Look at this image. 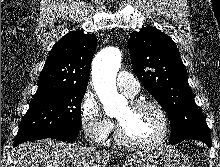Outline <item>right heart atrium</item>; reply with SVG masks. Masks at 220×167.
<instances>
[{
	"label": "right heart atrium",
	"instance_id": "1",
	"mask_svg": "<svg viewBox=\"0 0 220 167\" xmlns=\"http://www.w3.org/2000/svg\"><path fill=\"white\" fill-rule=\"evenodd\" d=\"M80 123L85 134L94 141L104 142L110 135L113 124L103 113L91 92H86L79 107Z\"/></svg>",
	"mask_w": 220,
	"mask_h": 167
}]
</instances>
